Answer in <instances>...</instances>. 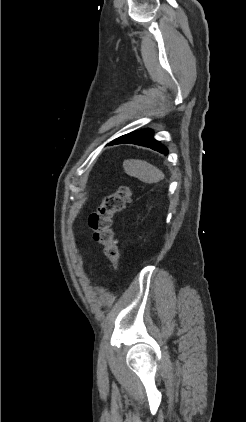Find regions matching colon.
<instances>
[{
  "mask_svg": "<svg viewBox=\"0 0 246 422\" xmlns=\"http://www.w3.org/2000/svg\"><path fill=\"white\" fill-rule=\"evenodd\" d=\"M130 197V188L120 186L114 193L105 196L98 209L88 218L94 240L104 247L105 255L116 271L121 266V257L119 244L112 229V219L115 213L124 208Z\"/></svg>",
  "mask_w": 246,
  "mask_h": 422,
  "instance_id": "obj_1",
  "label": "colon"
}]
</instances>
